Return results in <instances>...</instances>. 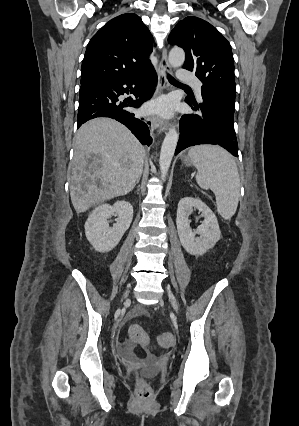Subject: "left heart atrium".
<instances>
[{
  "mask_svg": "<svg viewBox=\"0 0 299 426\" xmlns=\"http://www.w3.org/2000/svg\"><path fill=\"white\" fill-rule=\"evenodd\" d=\"M149 109L160 113L163 116L169 117L173 114V102L169 97H163L151 103Z\"/></svg>",
  "mask_w": 299,
  "mask_h": 426,
  "instance_id": "left-heart-atrium-1",
  "label": "left heart atrium"
}]
</instances>
